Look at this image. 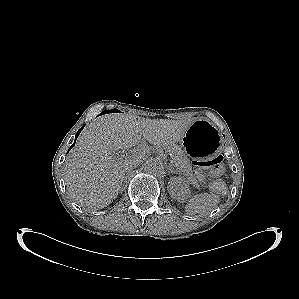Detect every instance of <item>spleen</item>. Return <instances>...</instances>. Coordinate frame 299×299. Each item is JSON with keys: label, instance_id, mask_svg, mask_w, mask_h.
<instances>
[{"label": "spleen", "instance_id": "spleen-1", "mask_svg": "<svg viewBox=\"0 0 299 299\" xmlns=\"http://www.w3.org/2000/svg\"><path fill=\"white\" fill-rule=\"evenodd\" d=\"M220 202L219 193H201L192 196L185 206V212L191 216H204L211 212Z\"/></svg>", "mask_w": 299, "mask_h": 299}]
</instances>
